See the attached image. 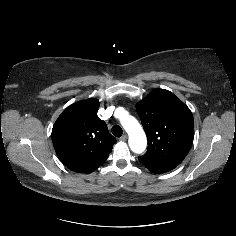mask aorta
Segmentation results:
<instances>
[{
    "label": "aorta",
    "instance_id": "1",
    "mask_svg": "<svg viewBox=\"0 0 236 236\" xmlns=\"http://www.w3.org/2000/svg\"><path fill=\"white\" fill-rule=\"evenodd\" d=\"M117 112L120 113L121 125L129 135L130 149L137 154L144 152L147 146V138L137 119L128 115L122 108L117 109Z\"/></svg>",
    "mask_w": 236,
    "mask_h": 236
}]
</instances>
